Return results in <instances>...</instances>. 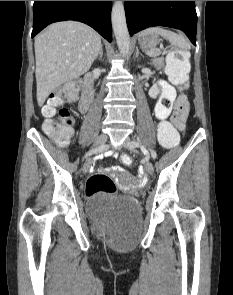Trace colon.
I'll return each mask as SVG.
<instances>
[{
    "label": "colon",
    "mask_w": 233,
    "mask_h": 295,
    "mask_svg": "<svg viewBox=\"0 0 233 295\" xmlns=\"http://www.w3.org/2000/svg\"><path fill=\"white\" fill-rule=\"evenodd\" d=\"M189 70L188 54L181 48L173 50L167 57L166 71L170 80L178 85H184L187 81ZM80 87L78 81H71L52 93L43 108V113L47 118L44 129L49 137L57 145H66L73 134V119L68 109L65 107L64 98L76 95ZM158 140L162 147L172 149L179 144V135L176 129L167 121L158 125ZM121 162L125 166H130L132 159L129 155L123 154ZM116 186L112 179L104 174H93L86 183V193L88 196L99 195L113 196Z\"/></svg>",
    "instance_id": "obj_1"
}]
</instances>
